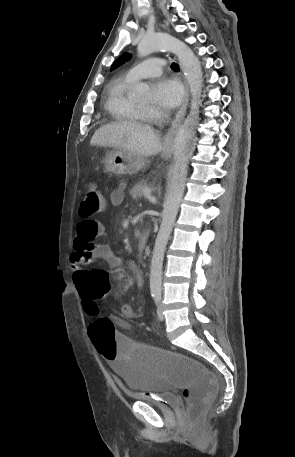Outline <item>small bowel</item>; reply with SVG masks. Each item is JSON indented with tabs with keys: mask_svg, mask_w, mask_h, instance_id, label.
Here are the masks:
<instances>
[{
	"mask_svg": "<svg viewBox=\"0 0 295 457\" xmlns=\"http://www.w3.org/2000/svg\"><path fill=\"white\" fill-rule=\"evenodd\" d=\"M124 200V190L122 187L113 190L110 194V203L113 206H119ZM105 234V227L102 223L93 219H84L76 226V236L74 240L75 254L71 258V272L73 282L81 295L82 287L87 285V267L95 260H104L109 266L117 267L123 263L110 246L105 243L95 241L97 237ZM134 274L136 283L139 287L143 286V277L135 265H129ZM82 297V296H81ZM121 313L124 318L132 319L135 317V311L130 304L121 306ZM111 321L117 326L127 329L129 324L121 318L112 317ZM129 341H133L129 338ZM111 363L112 360H109ZM176 384V383H174Z\"/></svg>",
	"mask_w": 295,
	"mask_h": 457,
	"instance_id": "small-bowel-1",
	"label": "small bowel"
}]
</instances>
